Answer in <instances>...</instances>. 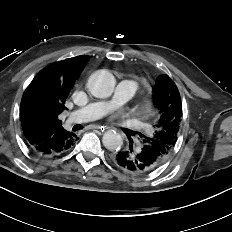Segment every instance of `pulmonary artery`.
Returning a JSON list of instances; mask_svg holds the SVG:
<instances>
[{"mask_svg": "<svg viewBox=\"0 0 232 232\" xmlns=\"http://www.w3.org/2000/svg\"><path fill=\"white\" fill-rule=\"evenodd\" d=\"M137 90L136 82L132 80H121L115 90L113 97L105 101L89 103L87 106L72 112L65 124L82 123L102 117L110 112L115 106L131 99Z\"/></svg>", "mask_w": 232, "mask_h": 232, "instance_id": "obj_1", "label": "pulmonary artery"}]
</instances>
